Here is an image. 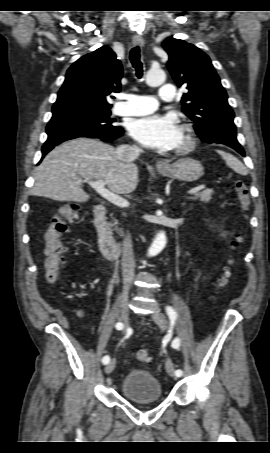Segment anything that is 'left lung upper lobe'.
Returning <instances> with one entry per match:
<instances>
[{
	"label": "left lung upper lobe",
	"mask_w": 270,
	"mask_h": 453,
	"mask_svg": "<svg viewBox=\"0 0 270 453\" xmlns=\"http://www.w3.org/2000/svg\"><path fill=\"white\" fill-rule=\"evenodd\" d=\"M163 48L169 55L167 67L183 94V112L195 122L197 135L207 143L237 144L234 112L210 58L196 46L167 38Z\"/></svg>",
	"instance_id": "5c2ea615"
}]
</instances>
